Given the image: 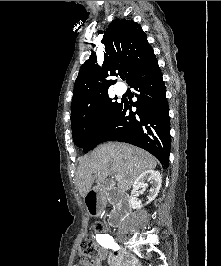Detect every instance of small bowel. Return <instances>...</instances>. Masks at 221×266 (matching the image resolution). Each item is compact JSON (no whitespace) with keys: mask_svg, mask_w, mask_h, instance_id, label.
Returning <instances> with one entry per match:
<instances>
[{"mask_svg":"<svg viewBox=\"0 0 221 266\" xmlns=\"http://www.w3.org/2000/svg\"><path fill=\"white\" fill-rule=\"evenodd\" d=\"M99 235L101 234H96V239L97 236ZM106 258H108L111 266H138V264L134 259L124 258L122 255L118 253H108V251L105 248H103V246L98 247L97 256L94 260L92 261L81 260L80 266H102V263Z\"/></svg>","mask_w":221,"mask_h":266,"instance_id":"obj_1","label":"small bowel"}]
</instances>
